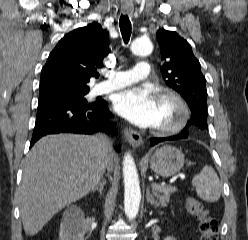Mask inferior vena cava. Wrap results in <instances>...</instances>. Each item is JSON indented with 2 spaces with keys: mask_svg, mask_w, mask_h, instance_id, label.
I'll return each instance as SVG.
<instances>
[{
  "mask_svg": "<svg viewBox=\"0 0 248 240\" xmlns=\"http://www.w3.org/2000/svg\"><path fill=\"white\" fill-rule=\"evenodd\" d=\"M112 167H113L112 163L108 161V164H107L108 171H111Z\"/></svg>",
  "mask_w": 248,
  "mask_h": 240,
  "instance_id": "602c4592",
  "label": "inferior vena cava"
}]
</instances>
